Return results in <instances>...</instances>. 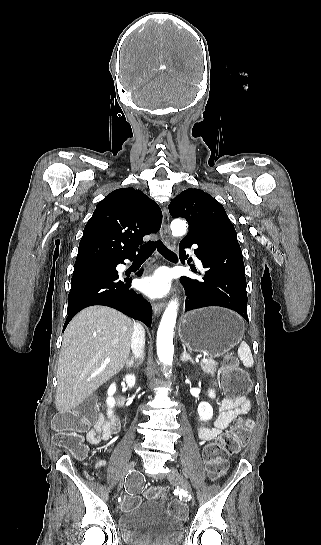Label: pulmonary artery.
Listing matches in <instances>:
<instances>
[{"instance_id": "obj_1", "label": "pulmonary artery", "mask_w": 321, "mask_h": 545, "mask_svg": "<svg viewBox=\"0 0 321 545\" xmlns=\"http://www.w3.org/2000/svg\"><path fill=\"white\" fill-rule=\"evenodd\" d=\"M195 263H196V265L199 266V267L202 266L201 261H200L197 257H195Z\"/></svg>"}]
</instances>
